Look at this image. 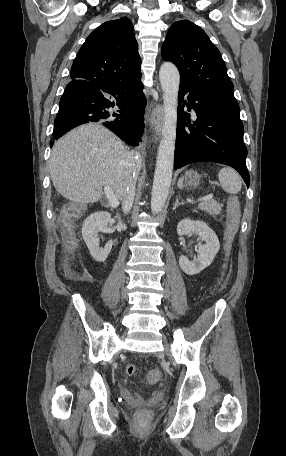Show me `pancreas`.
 Wrapping results in <instances>:
<instances>
[{
  "mask_svg": "<svg viewBox=\"0 0 286 456\" xmlns=\"http://www.w3.org/2000/svg\"><path fill=\"white\" fill-rule=\"evenodd\" d=\"M222 205L220 203H217L215 200H207L201 204H199L198 208L206 211L212 216L218 215L221 211Z\"/></svg>",
  "mask_w": 286,
  "mask_h": 456,
  "instance_id": "1",
  "label": "pancreas"
}]
</instances>
